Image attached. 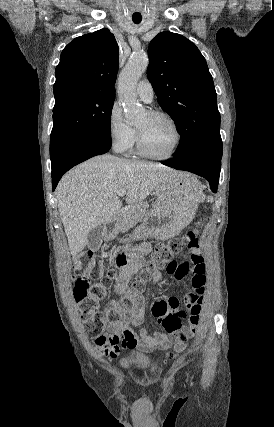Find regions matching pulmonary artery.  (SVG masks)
Returning a JSON list of instances; mask_svg holds the SVG:
<instances>
[{
  "label": "pulmonary artery",
  "instance_id": "1",
  "mask_svg": "<svg viewBox=\"0 0 274 427\" xmlns=\"http://www.w3.org/2000/svg\"><path fill=\"white\" fill-rule=\"evenodd\" d=\"M136 92L142 101L146 103L152 102L153 87H152V84L147 79H143L137 84Z\"/></svg>",
  "mask_w": 274,
  "mask_h": 427
}]
</instances>
